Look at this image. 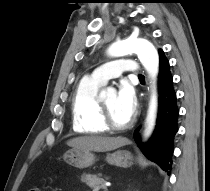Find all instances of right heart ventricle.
<instances>
[{"label": "right heart ventricle", "instance_id": "right-heart-ventricle-1", "mask_svg": "<svg viewBox=\"0 0 210 191\" xmlns=\"http://www.w3.org/2000/svg\"><path fill=\"white\" fill-rule=\"evenodd\" d=\"M101 83L84 78L80 81L72 100L73 129L83 135H99L107 130L100 121L98 92Z\"/></svg>", "mask_w": 210, "mask_h": 191}]
</instances>
